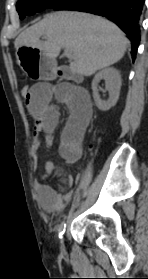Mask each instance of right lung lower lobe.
Here are the masks:
<instances>
[{
    "mask_svg": "<svg viewBox=\"0 0 148 279\" xmlns=\"http://www.w3.org/2000/svg\"><path fill=\"white\" fill-rule=\"evenodd\" d=\"M143 5L144 0H72L53 9L89 12L111 19L128 35L132 43V59L135 60Z\"/></svg>",
    "mask_w": 148,
    "mask_h": 279,
    "instance_id": "right-lung-lower-lobe-1",
    "label": "right lung lower lobe"
}]
</instances>
